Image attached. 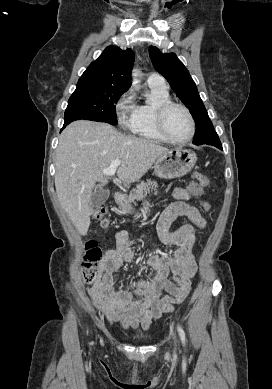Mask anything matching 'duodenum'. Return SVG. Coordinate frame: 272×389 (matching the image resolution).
Masks as SVG:
<instances>
[{
	"mask_svg": "<svg viewBox=\"0 0 272 389\" xmlns=\"http://www.w3.org/2000/svg\"><path fill=\"white\" fill-rule=\"evenodd\" d=\"M114 199H115V201H116L117 204H122V203H123V197H122V195L119 194V193H115Z\"/></svg>",
	"mask_w": 272,
	"mask_h": 389,
	"instance_id": "obj_1",
	"label": "duodenum"
}]
</instances>
